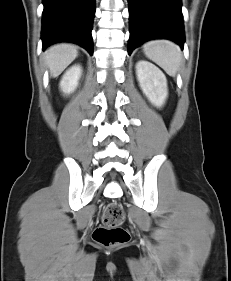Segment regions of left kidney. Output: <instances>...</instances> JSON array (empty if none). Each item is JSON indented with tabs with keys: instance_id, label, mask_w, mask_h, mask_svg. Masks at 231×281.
<instances>
[{
	"instance_id": "5707ae66",
	"label": "left kidney",
	"mask_w": 231,
	"mask_h": 281,
	"mask_svg": "<svg viewBox=\"0 0 231 281\" xmlns=\"http://www.w3.org/2000/svg\"><path fill=\"white\" fill-rule=\"evenodd\" d=\"M136 74L139 86L147 99L155 107L160 108L168 97L167 79L164 73L147 61L136 64Z\"/></svg>"
}]
</instances>
